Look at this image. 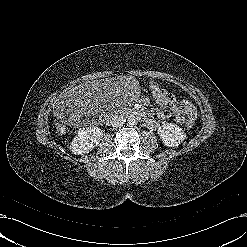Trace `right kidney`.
<instances>
[{
  "instance_id": "obj_1",
  "label": "right kidney",
  "mask_w": 247,
  "mask_h": 247,
  "mask_svg": "<svg viewBox=\"0 0 247 247\" xmlns=\"http://www.w3.org/2000/svg\"><path fill=\"white\" fill-rule=\"evenodd\" d=\"M103 137V132L98 127L80 129L70 144V150L74 154L89 153L95 148Z\"/></svg>"
}]
</instances>
